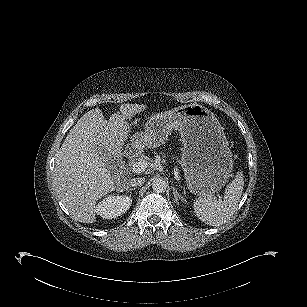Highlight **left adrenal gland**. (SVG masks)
<instances>
[{"instance_id": "1", "label": "left adrenal gland", "mask_w": 307, "mask_h": 307, "mask_svg": "<svg viewBox=\"0 0 307 307\" xmlns=\"http://www.w3.org/2000/svg\"><path fill=\"white\" fill-rule=\"evenodd\" d=\"M172 190H173V195H174V199H175L176 204H179V200L186 202V199L183 198L181 195H179V193L177 192L175 187H172Z\"/></svg>"}]
</instances>
